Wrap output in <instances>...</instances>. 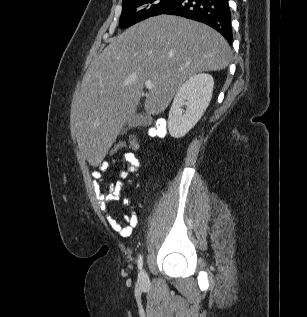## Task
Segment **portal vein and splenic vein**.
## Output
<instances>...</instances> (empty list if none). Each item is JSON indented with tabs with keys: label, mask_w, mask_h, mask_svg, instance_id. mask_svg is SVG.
Returning <instances> with one entry per match:
<instances>
[{
	"label": "portal vein and splenic vein",
	"mask_w": 307,
	"mask_h": 317,
	"mask_svg": "<svg viewBox=\"0 0 307 317\" xmlns=\"http://www.w3.org/2000/svg\"><path fill=\"white\" fill-rule=\"evenodd\" d=\"M145 87L150 90L155 88V85L152 83V81L148 80L145 82Z\"/></svg>",
	"instance_id": "obj_1"
}]
</instances>
